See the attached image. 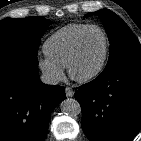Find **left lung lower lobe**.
Wrapping results in <instances>:
<instances>
[{"instance_id": "0a47b994", "label": "left lung lower lobe", "mask_w": 141, "mask_h": 141, "mask_svg": "<svg viewBox=\"0 0 141 141\" xmlns=\"http://www.w3.org/2000/svg\"><path fill=\"white\" fill-rule=\"evenodd\" d=\"M75 98L90 141H131L141 129V60L119 62L80 86Z\"/></svg>"}]
</instances>
